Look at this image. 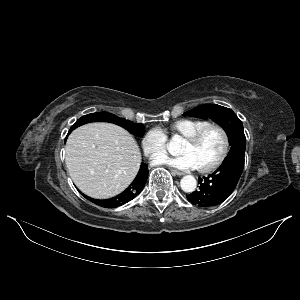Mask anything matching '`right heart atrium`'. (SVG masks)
Instances as JSON below:
<instances>
[{
  "instance_id": "1",
  "label": "right heart atrium",
  "mask_w": 300,
  "mask_h": 300,
  "mask_svg": "<svg viewBox=\"0 0 300 300\" xmlns=\"http://www.w3.org/2000/svg\"><path fill=\"white\" fill-rule=\"evenodd\" d=\"M141 145L145 155L153 159L166 151L167 136L160 128H151L144 134Z\"/></svg>"
}]
</instances>
